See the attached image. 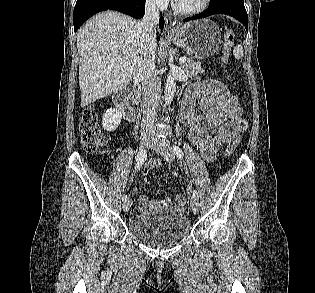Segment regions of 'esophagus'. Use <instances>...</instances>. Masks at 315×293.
<instances>
[{
	"label": "esophagus",
	"mask_w": 315,
	"mask_h": 293,
	"mask_svg": "<svg viewBox=\"0 0 315 293\" xmlns=\"http://www.w3.org/2000/svg\"><path fill=\"white\" fill-rule=\"evenodd\" d=\"M173 31L174 30H173V27H172L171 19L165 18L164 32L165 33H172Z\"/></svg>",
	"instance_id": "34e87169"
}]
</instances>
